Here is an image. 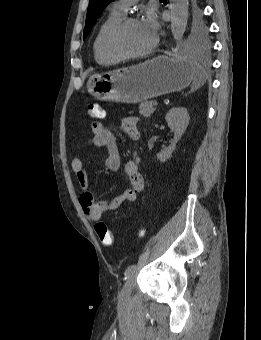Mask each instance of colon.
<instances>
[{
  "instance_id": "5ec220e1",
  "label": "colon",
  "mask_w": 261,
  "mask_h": 340,
  "mask_svg": "<svg viewBox=\"0 0 261 340\" xmlns=\"http://www.w3.org/2000/svg\"><path fill=\"white\" fill-rule=\"evenodd\" d=\"M105 112L98 104H89L87 106V116L90 118H102L104 117ZM95 231L101 243L104 246H111L114 242L113 234L108 229L107 225L104 223H98L95 225ZM144 234L143 229L139 230V235L142 236Z\"/></svg>"
}]
</instances>
